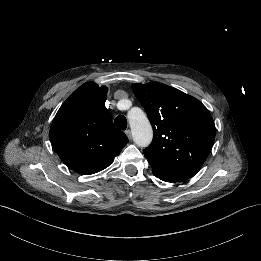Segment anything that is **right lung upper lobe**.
I'll use <instances>...</instances> for the list:
<instances>
[{"label": "right lung upper lobe", "mask_w": 261, "mask_h": 261, "mask_svg": "<svg viewBox=\"0 0 261 261\" xmlns=\"http://www.w3.org/2000/svg\"><path fill=\"white\" fill-rule=\"evenodd\" d=\"M106 87L87 82L74 91L57 112L51 144L63 163L80 174L105 169L128 143L105 107Z\"/></svg>", "instance_id": "cb5924a9"}]
</instances>
